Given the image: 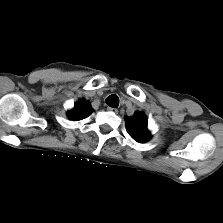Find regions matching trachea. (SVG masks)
<instances>
[{
	"mask_svg": "<svg viewBox=\"0 0 223 223\" xmlns=\"http://www.w3.org/2000/svg\"><path fill=\"white\" fill-rule=\"evenodd\" d=\"M105 101H106L107 105L112 108H117L119 105V98L115 94L108 96Z\"/></svg>",
	"mask_w": 223,
	"mask_h": 223,
	"instance_id": "obj_1",
	"label": "trachea"
}]
</instances>
